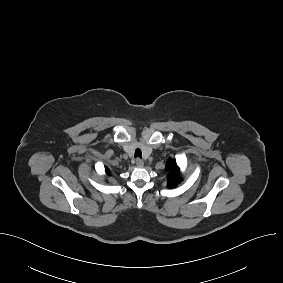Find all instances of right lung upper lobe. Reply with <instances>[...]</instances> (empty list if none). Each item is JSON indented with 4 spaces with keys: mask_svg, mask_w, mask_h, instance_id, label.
<instances>
[{
    "mask_svg": "<svg viewBox=\"0 0 283 283\" xmlns=\"http://www.w3.org/2000/svg\"><path fill=\"white\" fill-rule=\"evenodd\" d=\"M105 171H106L107 174H110V171H109L108 168H105Z\"/></svg>",
    "mask_w": 283,
    "mask_h": 283,
    "instance_id": "right-lung-upper-lobe-1",
    "label": "right lung upper lobe"
}]
</instances>
